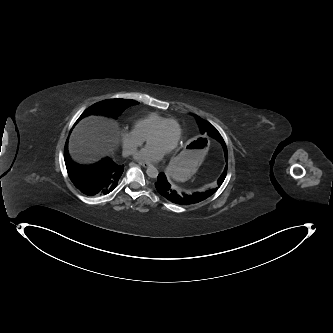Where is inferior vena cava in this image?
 Wrapping results in <instances>:
<instances>
[{
  "instance_id": "602c4592",
  "label": "inferior vena cava",
  "mask_w": 333,
  "mask_h": 333,
  "mask_svg": "<svg viewBox=\"0 0 333 333\" xmlns=\"http://www.w3.org/2000/svg\"><path fill=\"white\" fill-rule=\"evenodd\" d=\"M136 152V149L135 148H124L123 149V152H122V155L124 156V157H127V156H129V155H131V154H134Z\"/></svg>"
}]
</instances>
